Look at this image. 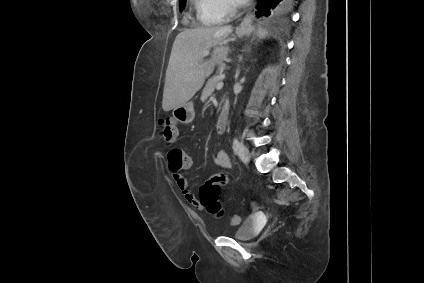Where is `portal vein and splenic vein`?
<instances>
[{
	"label": "portal vein and splenic vein",
	"mask_w": 424,
	"mask_h": 283,
	"mask_svg": "<svg viewBox=\"0 0 424 283\" xmlns=\"http://www.w3.org/2000/svg\"><path fill=\"white\" fill-rule=\"evenodd\" d=\"M209 54V51L208 50H206V51H204L203 52V55L204 56H207ZM223 87V82L222 81H220L217 85H216V89H221Z\"/></svg>",
	"instance_id": "portal-vein-and-splenic-vein-1"
}]
</instances>
